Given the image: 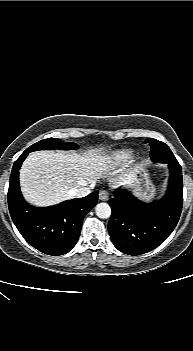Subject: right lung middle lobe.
<instances>
[{
	"label": "right lung middle lobe",
	"mask_w": 193,
	"mask_h": 351,
	"mask_svg": "<svg viewBox=\"0 0 193 351\" xmlns=\"http://www.w3.org/2000/svg\"><path fill=\"white\" fill-rule=\"evenodd\" d=\"M78 145L73 142H62L60 139L57 138H48L41 140L29 148H27L24 152H33V151H38V150H53V149H59V150H69V149H77Z\"/></svg>",
	"instance_id": "dd1d6c3e"
}]
</instances>
